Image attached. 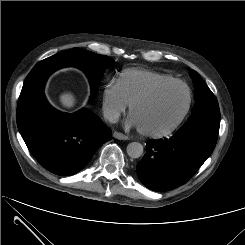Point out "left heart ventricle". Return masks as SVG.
I'll return each instance as SVG.
<instances>
[{"mask_svg": "<svg viewBox=\"0 0 245 245\" xmlns=\"http://www.w3.org/2000/svg\"><path fill=\"white\" fill-rule=\"evenodd\" d=\"M187 104V91L181 85L162 89L150 100L137 105L132 115L140 129L158 132L173 125Z\"/></svg>", "mask_w": 245, "mask_h": 245, "instance_id": "obj_1", "label": "left heart ventricle"}]
</instances>
